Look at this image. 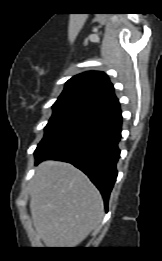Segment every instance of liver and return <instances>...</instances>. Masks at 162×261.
Wrapping results in <instances>:
<instances>
[{"mask_svg": "<svg viewBox=\"0 0 162 261\" xmlns=\"http://www.w3.org/2000/svg\"><path fill=\"white\" fill-rule=\"evenodd\" d=\"M37 236L50 248L79 245L101 222L103 201L85 174L68 163L42 162L30 191Z\"/></svg>", "mask_w": 162, "mask_h": 261, "instance_id": "liver-1", "label": "liver"}]
</instances>
